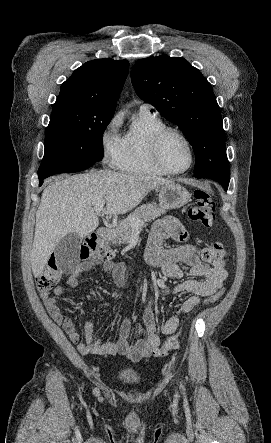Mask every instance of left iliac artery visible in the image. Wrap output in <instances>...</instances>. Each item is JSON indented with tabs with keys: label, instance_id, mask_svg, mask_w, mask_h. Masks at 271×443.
I'll use <instances>...</instances> for the list:
<instances>
[{
	"label": "left iliac artery",
	"instance_id": "left-iliac-artery-1",
	"mask_svg": "<svg viewBox=\"0 0 271 443\" xmlns=\"http://www.w3.org/2000/svg\"><path fill=\"white\" fill-rule=\"evenodd\" d=\"M180 386H181V388H182L183 390H185V387H184V385H183L182 383H181Z\"/></svg>",
	"mask_w": 271,
	"mask_h": 443
}]
</instances>
